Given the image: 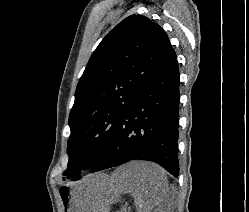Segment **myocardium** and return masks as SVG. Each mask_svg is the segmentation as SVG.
Returning <instances> with one entry per match:
<instances>
[{"instance_id":"f54148a6","label":"myocardium","mask_w":249,"mask_h":212,"mask_svg":"<svg viewBox=\"0 0 249 212\" xmlns=\"http://www.w3.org/2000/svg\"><path fill=\"white\" fill-rule=\"evenodd\" d=\"M96 148H91L88 152L87 155H94L96 153Z\"/></svg>"}]
</instances>
